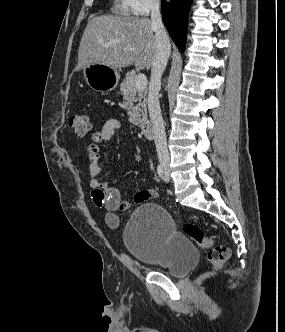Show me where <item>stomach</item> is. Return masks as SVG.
<instances>
[{"label": "stomach", "mask_w": 285, "mask_h": 332, "mask_svg": "<svg viewBox=\"0 0 285 332\" xmlns=\"http://www.w3.org/2000/svg\"><path fill=\"white\" fill-rule=\"evenodd\" d=\"M83 74L90 88L99 92L114 90L120 79L117 69L99 63L84 68Z\"/></svg>", "instance_id": "1"}]
</instances>
